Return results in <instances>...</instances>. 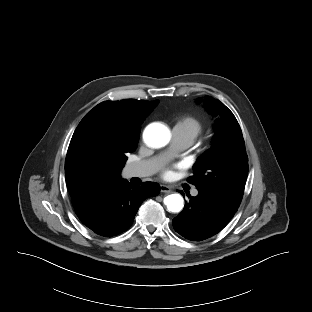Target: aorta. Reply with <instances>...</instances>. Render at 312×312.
<instances>
[{
  "label": "aorta",
  "mask_w": 312,
  "mask_h": 312,
  "mask_svg": "<svg viewBox=\"0 0 312 312\" xmlns=\"http://www.w3.org/2000/svg\"><path fill=\"white\" fill-rule=\"evenodd\" d=\"M143 138L148 146L161 148L169 143L170 131L162 124H151L145 129ZM164 204L169 211L177 213L183 209L184 200L180 194H171L164 198Z\"/></svg>",
  "instance_id": "1"
}]
</instances>
